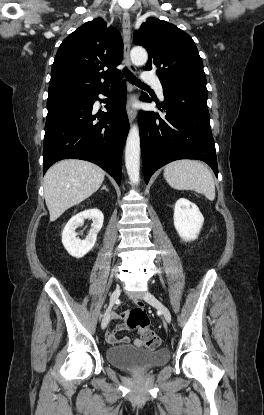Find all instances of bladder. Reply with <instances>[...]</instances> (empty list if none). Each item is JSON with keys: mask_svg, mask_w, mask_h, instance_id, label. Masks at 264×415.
<instances>
[{"mask_svg": "<svg viewBox=\"0 0 264 415\" xmlns=\"http://www.w3.org/2000/svg\"><path fill=\"white\" fill-rule=\"evenodd\" d=\"M105 358L113 367L140 371L161 366L169 360L167 348H140L134 345H121L107 348Z\"/></svg>", "mask_w": 264, "mask_h": 415, "instance_id": "31cf9c89", "label": "bladder"}]
</instances>
